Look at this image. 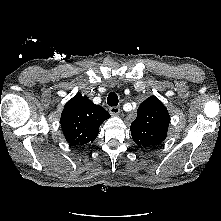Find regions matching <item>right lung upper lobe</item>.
<instances>
[{
  "label": "right lung upper lobe",
  "instance_id": "1",
  "mask_svg": "<svg viewBox=\"0 0 221 221\" xmlns=\"http://www.w3.org/2000/svg\"><path fill=\"white\" fill-rule=\"evenodd\" d=\"M109 117L103 107L77 93L66 103L60 123L68 143L78 146L94 141L100 125Z\"/></svg>",
  "mask_w": 221,
  "mask_h": 221
}]
</instances>
